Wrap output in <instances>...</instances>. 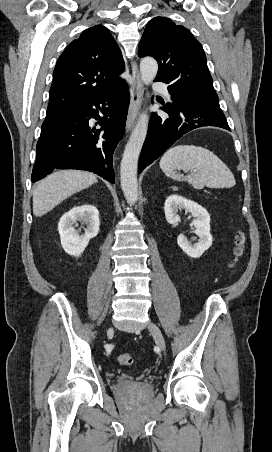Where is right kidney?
Returning a JSON list of instances; mask_svg holds the SVG:
<instances>
[{"instance_id": "ca27d5eb", "label": "right kidney", "mask_w": 272, "mask_h": 452, "mask_svg": "<svg viewBox=\"0 0 272 452\" xmlns=\"http://www.w3.org/2000/svg\"><path fill=\"white\" fill-rule=\"evenodd\" d=\"M80 221L87 225L83 235L74 228ZM100 228L99 211L90 204L73 207L66 212L58 223L61 245L66 253L79 257L87 247L90 239L97 236Z\"/></svg>"}]
</instances>
